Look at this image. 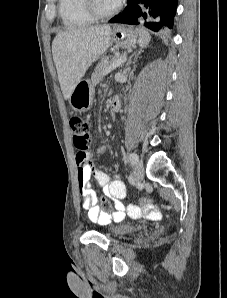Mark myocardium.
<instances>
[{
	"instance_id": "f54148a6",
	"label": "myocardium",
	"mask_w": 227,
	"mask_h": 298,
	"mask_svg": "<svg viewBox=\"0 0 227 298\" xmlns=\"http://www.w3.org/2000/svg\"><path fill=\"white\" fill-rule=\"evenodd\" d=\"M121 2L116 4L113 9L108 12H100L94 3V0H84V6L87 13L93 20H105L114 16L120 9Z\"/></svg>"
}]
</instances>
